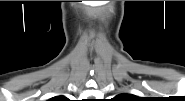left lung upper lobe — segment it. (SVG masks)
<instances>
[{
	"label": "left lung upper lobe",
	"instance_id": "left-lung-upper-lobe-1",
	"mask_svg": "<svg viewBox=\"0 0 185 101\" xmlns=\"http://www.w3.org/2000/svg\"><path fill=\"white\" fill-rule=\"evenodd\" d=\"M118 97H119V99H121V100H119V101H125V100H127V99H131L132 95H129V94H122V95H119Z\"/></svg>",
	"mask_w": 185,
	"mask_h": 101
}]
</instances>
